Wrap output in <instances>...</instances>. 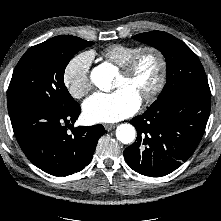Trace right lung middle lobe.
<instances>
[{
    "label": "right lung middle lobe",
    "instance_id": "right-lung-middle-lobe-1",
    "mask_svg": "<svg viewBox=\"0 0 221 221\" xmlns=\"http://www.w3.org/2000/svg\"><path fill=\"white\" fill-rule=\"evenodd\" d=\"M93 44L60 35L29 48L13 72L7 92L8 111L35 105L65 110L77 105L64 85V71L77 52Z\"/></svg>",
    "mask_w": 221,
    "mask_h": 221
}]
</instances>
